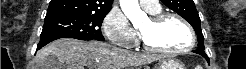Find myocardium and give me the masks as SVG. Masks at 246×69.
<instances>
[{
    "label": "myocardium",
    "instance_id": "obj_1",
    "mask_svg": "<svg viewBox=\"0 0 246 69\" xmlns=\"http://www.w3.org/2000/svg\"><path fill=\"white\" fill-rule=\"evenodd\" d=\"M171 18L180 21L181 24L185 27V29L188 33V36H189V44L183 48L165 49V48H160V47H156V46L151 45L145 38H143L141 36V42L146 49H149L155 53H160V54H164V55H175V54L190 51L194 47V44H195L194 31H193L191 25L182 16H180L176 13H159V14L152 15L149 20L153 25H159L162 22H164L168 19H171Z\"/></svg>",
    "mask_w": 246,
    "mask_h": 69
}]
</instances>
